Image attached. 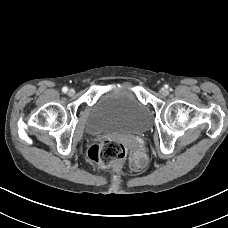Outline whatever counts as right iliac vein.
<instances>
[{"label": "right iliac vein", "instance_id": "obj_1", "mask_svg": "<svg viewBox=\"0 0 228 228\" xmlns=\"http://www.w3.org/2000/svg\"><path fill=\"white\" fill-rule=\"evenodd\" d=\"M68 94H69L70 96H73V95L75 94V90H74V89H70V90L68 91Z\"/></svg>", "mask_w": 228, "mask_h": 228}]
</instances>
